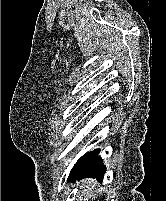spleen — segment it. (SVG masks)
<instances>
[{
	"label": "spleen",
	"mask_w": 166,
	"mask_h": 201,
	"mask_svg": "<svg viewBox=\"0 0 166 201\" xmlns=\"http://www.w3.org/2000/svg\"><path fill=\"white\" fill-rule=\"evenodd\" d=\"M86 197L87 198H91L93 196V190L90 188V184L88 182H86Z\"/></svg>",
	"instance_id": "3e777b00"
}]
</instances>
